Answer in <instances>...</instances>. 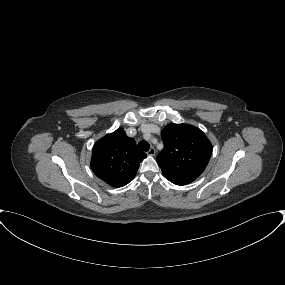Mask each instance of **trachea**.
<instances>
[{"label": "trachea", "instance_id": "3493384b", "mask_svg": "<svg viewBox=\"0 0 285 285\" xmlns=\"http://www.w3.org/2000/svg\"><path fill=\"white\" fill-rule=\"evenodd\" d=\"M150 148V145L147 141H140L138 143V149L141 151H148Z\"/></svg>", "mask_w": 285, "mask_h": 285}]
</instances>
